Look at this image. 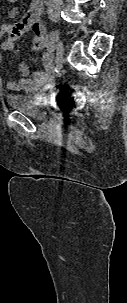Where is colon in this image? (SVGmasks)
I'll return each mask as SVG.
<instances>
[{
	"label": "colon",
	"mask_w": 127,
	"mask_h": 303,
	"mask_svg": "<svg viewBox=\"0 0 127 303\" xmlns=\"http://www.w3.org/2000/svg\"><path fill=\"white\" fill-rule=\"evenodd\" d=\"M67 101H68L69 104H71L72 101H73V98H72V97H68V98H67Z\"/></svg>",
	"instance_id": "obj_1"
}]
</instances>
